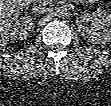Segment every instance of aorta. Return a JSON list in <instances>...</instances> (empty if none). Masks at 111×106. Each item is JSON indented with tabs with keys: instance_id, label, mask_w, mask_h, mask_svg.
I'll return each mask as SVG.
<instances>
[{
	"instance_id": "aorta-1",
	"label": "aorta",
	"mask_w": 111,
	"mask_h": 106,
	"mask_svg": "<svg viewBox=\"0 0 111 106\" xmlns=\"http://www.w3.org/2000/svg\"><path fill=\"white\" fill-rule=\"evenodd\" d=\"M55 16H57V17L65 16L64 10L60 9V10L56 11Z\"/></svg>"
}]
</instances>
